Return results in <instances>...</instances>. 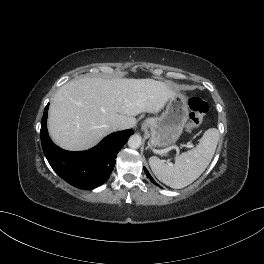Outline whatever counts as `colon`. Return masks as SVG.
I'll return each instance as SVG.
<instances>
[{
	"mask_svg": "<svg viewBox=\"0 0 264 264\" xmlns=\"http://www.w3.org/2000/svg\"><path fill=\"white\" fill-rule=\"evenodd\" d=\"M188 105L190 108V114L185 124V131L191 132L201 125L204 116L209 110V105L199 97L190 98Z\"/></svg>",
	"mask_w": 264,
	"mask_h": 264,
	"instance_id": "5ec220e1",
	"label": "colon"
}]
</instances>
